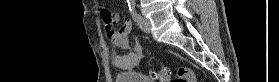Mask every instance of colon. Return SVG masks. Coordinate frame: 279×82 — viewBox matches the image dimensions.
Masks as SVG:
<instances>
[{"label": "colon", "instance_id": "colon-1", "mask_svg": "<svg viewBox=\"0 0 279 82\" xmlns=\"http://www.w3.org/2000/svg\"><path fill=\"white\" fill-rule=\"evenodd\" d=\"M101 17L104 21V24L111 25L112 19L107 10H102ZM171 71L169 68H162L159 71L152 72V77L158 82H167L169 81ZM194 74L188 68H180L177 72V76L175 78V82H194Z\"/></svg>", "mask_w": 279, "mask_h": 82}]
</instances>
